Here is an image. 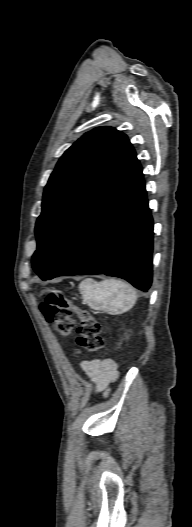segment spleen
I'll list each match as a JSON object with an SVG mask.
<instances>
[{
	"label": "spleen",
	"instance_id": "spleen-1",
	"mask_svg": "<svg viewBox=\"0 0 192 527\" xmlns=\"http://www.w3.org/2000/svg\"><path fill=\"white\" fill-rule=\"evenodd\" d=\"M79 290L91 308L114 314L130 310L137 299L131 285L116 279L96 282L86 278L80 283Z\"/></svg>",
	"mask_w": 192,
	"mask_h": 527
}]
</instances>
